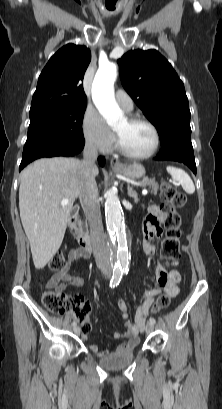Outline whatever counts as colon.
<instances>
[{
  "instance_id": "obj_1",
  "label": "colon",
  "mask_w": 222,
  "mask_h": 409,
  "mask_svg": "<svg viewBox=\"0 0 222 409\" xmlns=\"http://www.w3.org/2000/svg\"><path fill=\"white\" fill-rule=\"evenodd\" d=\"M160 196L164 201L163 207V225L165 228V237L161 244V253L165 260L169 263H176L174 259H179L180 256V240L182 237L181 218L178 210L186 204V196L179 191L169 181H163L160 185ZM66 259L63 252H57L49 262V269L54 272H60L65 268ZM41 300L44 307L56 314H65L72 309L69 298L62 292L51 289H44L41 294ZM170 301L167 294L158 297L156 303L152 304L149 313L157 314L162 311ZM87 305H82L76 308L75 314L82 323L84 332L90 330L88 320Z\"/></svg>"
}]
</instances>
